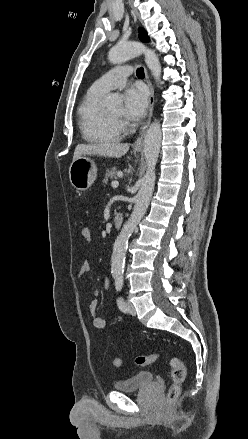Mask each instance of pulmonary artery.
Instances as JSON below:
<instances>
[{
  "instance_id": "pulmonary-artery-1",
  "label": "pulmonary artery",
  "mask_w": 248,
  "mask_h": 439,
  "mask_svg": "<svg viewBox=\"0 0 248 439\" xmlns=\"http://www.w3.org/2000/svg\"><path fill=\"white\" fill-rule=\"evenodd\" d=\"M131 73L132 69L128 66L117 67L97 79L90 89L93 92L105 94L114 88L123 86Z\"/></svg>"
}]
</instances>
